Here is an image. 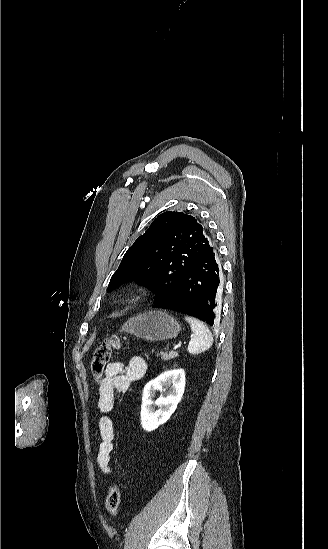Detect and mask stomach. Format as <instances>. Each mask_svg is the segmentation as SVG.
Listing matches in <instances>:
<instances>
[{
    "label": "stomach",
    "instance_id": "stomach-1",
    "mask_svg": "<svg viewBox=\"0 0 328 549\" xmlns=\"http://www.w3.org/2000/svg\"><path fill=\"white\" fill-rule=\"evenodd\" d=\"M121 331L145 341H166L178 337L181 325L166 311H146L128 319Z\"/></svg>",
    "mask_w": 328,
    "mask_h": 549
}]
</instances>
